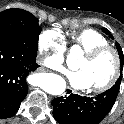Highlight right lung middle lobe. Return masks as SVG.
<instances>
[{
    "mask_svg": "<svg viewBox=\"0 0 124 124\" xmlns=\"http://www.w3.org/2000/svg\"><path fill=\"white\" fill-rule=\"evenodd\" d=\"M38 19L23 9L12 8L0 12V35L30 37L37 44L41 28Z\"/></svg>",
    "mask_w": 124,
    "mask_h": 124,
    "instance_id": "1",
    "label": "right lung middle lobe"
}]
</instances>
